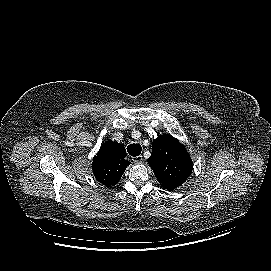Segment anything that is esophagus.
<instances>
[{
    "instance_id": "obj_1",
    "label": "esophagus",
    "mask_w": 271,
    "mask_h": 271,
    "mask_svg": "<svg viewBox=\"0 0 271 271\" xmlns=\"http://www.w3.org/2000/svg\"><path fill=\"white\" fill-rule=\"evenodd\" d=\"M133 161H134L135 163H141V162L143 161L142 155H139V156L134 157V158H133Z\"/></svg>"
}]
</instances>
